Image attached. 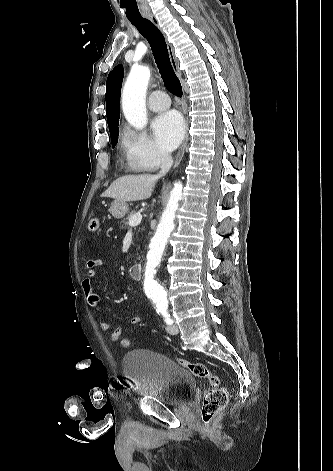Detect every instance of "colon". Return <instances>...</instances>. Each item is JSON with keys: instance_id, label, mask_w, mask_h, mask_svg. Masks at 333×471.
<instances>
[{"instance_id": "obj_1", "label": "colon", "mask_w": 333, "mask_h": 471, "mask_svg": "<svg viewBox=\"0 0 333 471\" xmlns=\"http://www.w3.org/2000/svg\"><path fill=\"white\" fill-rule=\"evenodd\" d=\"M99 226L100 221L97 217H93L88 221V229L92 232L97 231ZM118 342L123 348H128L131 344L130 340L125 337H120ZM178 363L182 367L188 369L194 376L205 378L209 381L210 388L205 393L201 408L202 422L208 429L215 416L227 405V391L222 386L220 378L216 374L212 373L205 364L200 362H191L183 358H179Z\"/></svg>"}]
</instances>
